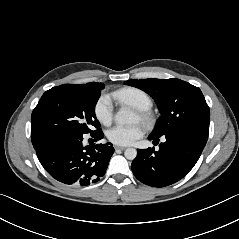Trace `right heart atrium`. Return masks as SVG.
Returning a JSON list of instances; mask_svg holds the SVG:
<instances>
[{
    "instance_id": "1",
    "label": "right heart atrium",
    "mask_w": 239,
    "mask_h": 239,
    "mask_svg": "<svg viewBox=\"0 0 239 239\" xmlns=\"http://www.w3.org/2000/svg\"><path fill=\"white\" fill-rule=\"evenodd\" d=\"M94 112L96 118L104 125H108L111 123L113 119V103L109 96L102 95L97 100Z\"/></svg>"
}]
</instances>
